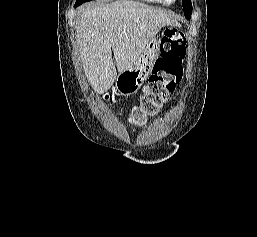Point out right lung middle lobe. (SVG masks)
Masks as SVG:
<instances>
[{
  "mask_svg": "<svg viewBox=\"0 0 257 237\" xmlns=\"http://www.w3.org/2000/svg\"><path fill=\"white\" fill-rule=\"evenodd\" d=\"M90 0H76L75 7L79 6L82 3L88 2Z\"/></svg>",
  "mask_w": 257,
  "mask_h": 237,
  "instance_id": "right-lung-middle-lobe-1",
  "label": "right lung middle lobe"
}]
</instances>
